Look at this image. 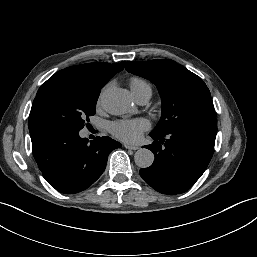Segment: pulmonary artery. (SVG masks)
<instances>
[{
	"label": "pulmonary artery",
	"mask_w": 257,
	"mask_h": 257,
	"mask_svg": "<svg viewBox=\"0 0 257 257\" xmlns=\"http://www.w3.org/2000/svg\"><path fill=\"white\" fill-rule=\"evenodd\" d=\"M150 94L149 93H144V94H141L139 95L138 97H136V101L139 103V104H145L148 102V100L150 99Z\"/></svg>",
	"instance_id": "pulmonary-artery-1"
}]
</instances>
